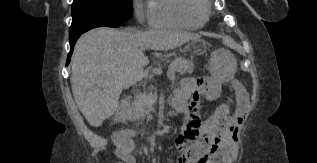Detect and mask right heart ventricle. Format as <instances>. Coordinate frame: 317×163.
Masks as SVG:
<instances>
[{"mask_svg": "<svg viewBox=\"0 0 317 163\" xmlns=\"http://www.w3.org/2000/svg\"><path fill=\"white\" fill-rule=\"evenodd\" d=\"M150 6L152 28L196 30L207 20L203 0H150Z\"/></svg>", "mask_w": 317, "mask_h": 163, "instance_id": "1", "label": "right heart ventricle"}]
</instances>
